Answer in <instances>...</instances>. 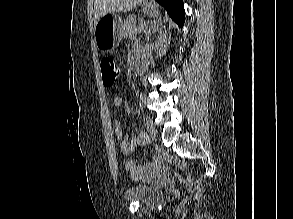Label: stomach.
Segmentation results:
<instances>
[{
    "label": "stomach",
    "mask_w": 293,
    "mask_h": 219,
    "mask_svg": "<svg viewBox=\"0 0 293 219\" xmlns=\"http://www.w3.org/2000/svg\"><path fill=\"white\" fill-rule=\"evenodd\" d=\"M143 11L150 17L159 15L158 5L145 2ZM122 20L114 13L106 14L95 25L94 40L97 48L103 51H112L122 39Z\"/></svg>",
    "instance_id": "stomach-1"
}]
</instances>
